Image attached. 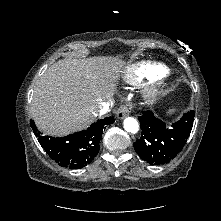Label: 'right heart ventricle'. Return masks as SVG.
<instances>
[{
	"mask_svg": "<svg viewBox=\"0 0 221 221\" xmlns=\"http://www.w3.org/2000/svg\"><path fill=\"white\" fill-rule=\"evenodd\" d=\"M165 73L166 70L162 65L144 63L133 67L126 75V79L130 83H140L144 80L159 78Z\"/></svg>",
	"mask_w": 221,
	"mask_h": 221,
	"instance_id": "obj_1",
	"label": "right heart ventricle"
}]
</instances>
